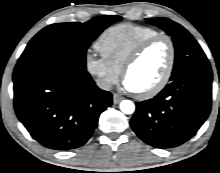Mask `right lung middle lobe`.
I'll return each instance as SVG.
<instances>
[{
    "label": "right lung middle lobe",
    "mask_w": 220,
    "mask_h": 173,
    "mask_svg": "<svg viewBox=\"0 0 220 173\" xmlns=\"http://www.w3.org/2000/svg\"><path fill=\"white\" fill-rule=\"evenodd\" d=\"M120 16L105 15L85 23H58L42 29L28 43L18 63L59 58L86 69V50Z\"/></svg>",
    "instance_id": "dd1d6c3e"
}]
</instances>
